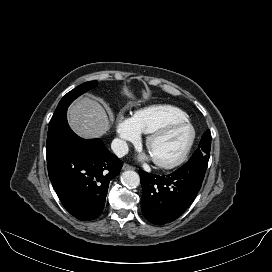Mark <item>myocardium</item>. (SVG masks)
I'll use <instances>...</instances> for the list:
<instances>
[{
    "mask_svg": "<svg viewBox=\"0 0 272 272\" xmlns=\"http://www.w3.org/2000/svg\"><path fill=\"white\" fill-rule=\"evenodd\" d=\"M179 126H184L189 130V137L186 142V145L184 149L182 150V152L172 160L159 161V160L153 159L154 163L161 168H164V169L175 168L179 166L180 164H182L187 159L195 142V138H196L195 128L188 119L172 121L152 131L151 133H149V135L146 138L145 145L147 150L150 152V147L156 139H158L159 137L163 136L164 134L168 133L172 129Z\"/></svg>",
    "mask_w": 272,
    "mask_h": 272,
    "instance_id": "1",
    "label": "myocardium"
}]
</instances>
